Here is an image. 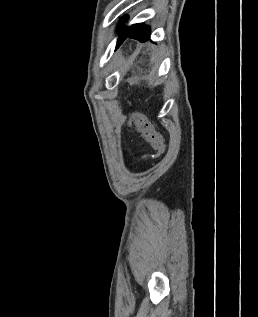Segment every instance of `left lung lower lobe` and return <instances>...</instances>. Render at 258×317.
<instances>
[{
	"label": "left lung lower lobe",
	"mask_w": 258,
	"mask_h": 317,
	"mask_svg": "<svg viewBox=\"0 0 258 317\" xmlns=\"http://www.w3.org/2000/svg\"><path fill=\"white\" fill-rule=\"evenodd\" d=\"M126 38L137 39L145 42L150 39V28L142 23L131 25L120 33L117 47L118 48Z\"/></svg>",
	"instance_id": "1"
}]
</instances>
